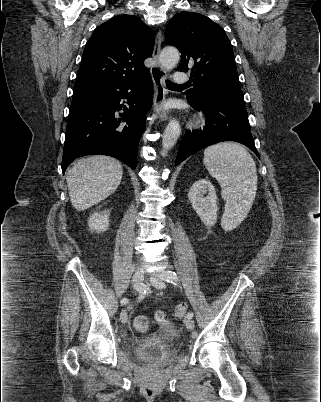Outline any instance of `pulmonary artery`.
<instances>
[{
    "instance_id": "e3ab8cb5",
    "label": "pulmonary artery",
    "mask_w": 321,
    "mask_h": 402,
    "mask_svg": "<svg viewBox=\"0 0 321 402\" xmlns=\"http://www.w3.org/2000/svg\"><path fill=\"white\" fill-rule=\"evenodd\" d=\"M173 78H174V83L180 84V85L181 84H186L190 80L189 76L186 73L182 72V71L176 72L174 74Z\"/></svg>"
}]
</instances>
